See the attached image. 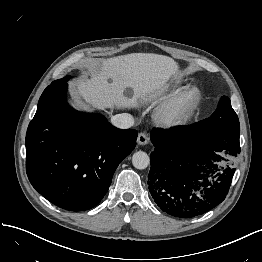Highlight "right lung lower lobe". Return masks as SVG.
<instances>
[{
  "instance_id": "1",
  "label": "right lung lower lobe",
  "mask_w": 262,
  "mask_h": 262,
  "mask_svg": "<svg viewBox=\"0 0 262 262\" xmlns=\"http://www.w3.org/2000/svg\"><path fill=\"white\" fill-rule=\"evenodd\" d=\"M66 92L67 83L51 84L41 95L26 134V171L51 203L83 211L104 197L117 166L135 148L138 132L72 109Z\"/></svg>"
}]
</instances>
